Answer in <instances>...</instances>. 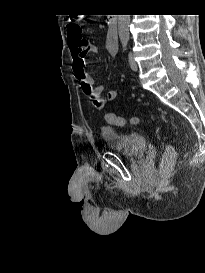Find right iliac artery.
<instances>
[{
    "label": "right iliac artery",
    "instance_id": "right-iliac-artery-1",
    "mask_svg": "<svg viewBox=\"0 0 205 273\" xmlns=\"http://www.w3.org/2000/svg\"><path fill=\"white\" fill-rule=\"evenodd\" d=\"M123 48H124V50H127V43L126 42L123 43Z\"/></svg>",
    "mask_w": 205,
    "mask_h": 273
}]
</instances>
